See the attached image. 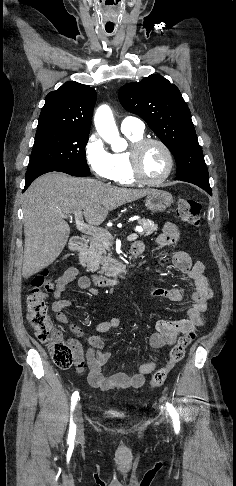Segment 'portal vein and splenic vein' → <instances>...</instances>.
<instances>
[{
	"mask_svg": "<svg viewBox=\"0 0 236 486\" xmlns=\"http://www.w3.org/2000/svg\"><path fill=\"white\" fill-rule=\"evenodd\" d=\"M75 216V222H76V228L81 231L82 233H85L87 235L93 236L95 238H100V239H107L110 236V233L104 229H101L99 227H96L94 225L86 224L83 220L82 217V211H76L74 213ZM62 217L64 218H69L71 215L68 214H62ZM139 231H143L142 229ZM138 235L136 233L130 234L127 237V240L133 241L136 240Z\"/></svg>",
	"mask_w": 236,
	"mask_h": 486,
	"instance_id": "1",
	"label": "portal vein and splenic vein"
}]
</instances>
